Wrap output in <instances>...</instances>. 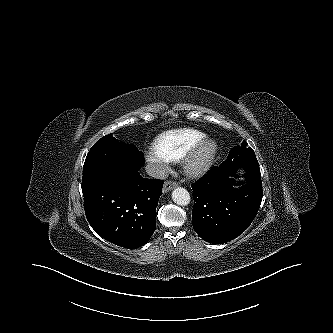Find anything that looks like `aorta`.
Wrapping results in <instances>:
<instances>
[{
  "label": "aorta",
  "mask_w": 333,
  "mask_h": 333,
  "mask_svg": "<svg viewBox=\"0 0 333 333\" xmlns=\"http://www.w3.org/2000/svg\"><path fill=\"white\" fill-rule=\"evenodd\" d=\"M174 203L180 206H186L190 203V194L185 188L177 187L172 192Z\"/></svg>",
  "instance_id": "aorta-1"
}]
</instances>
